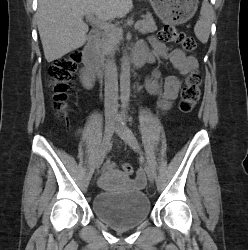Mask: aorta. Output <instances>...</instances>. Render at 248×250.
I'll use <instances>...</instances> for the list:
<instances>
[{
    "label": "aorta",
    "mask_w": 248,
    "mask_h": 250,
    "mask_svg": "<svg viewBox=\"0 0 248 250\" xmlns=\"http://www.w3.org/2000/svg\"><path fill=\"white\" fill-rule=\"evenodd\" d=\"M120 93L122 107L127 108L130 98V63L126 56L123 57L121 64Z\"/></svg>",
    "instance_id": "obj_1"
}]
</instances>
